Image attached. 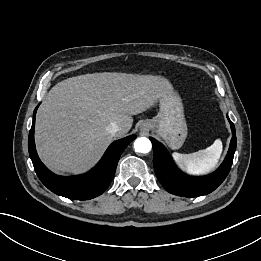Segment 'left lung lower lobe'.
<instances>
[{
	"instance_id": "1",
	"label": "left lung lower lobe",
	"mask_w": 261,
	"mask_h": 261,
	"mask_svg": "<svg viewBox=\"0 0 261 261\" xmlns=\"http://www.w3.org/2000/svg\"><path fill=\"white\" fill-rule=\"evenodd\" d=\"M231 129L232 139L228 153L220 167L210 175L192 177L182 173L172 161L166 148L153 138H150L154 150V171L163 187L174 195L183 197H197L214 191L227 177L233 162L236 150L235 127L227 116Z\"/></svg>"
}]
</instances>
